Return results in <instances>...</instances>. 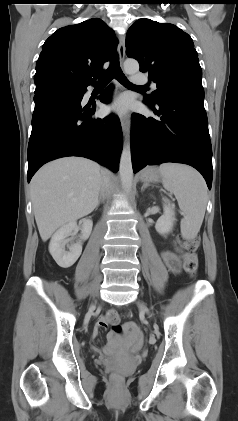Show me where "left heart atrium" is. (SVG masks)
<instances>
[{
  "label": "left heart atrium",
  "mask_w": 238,
  "mask_h": 421,
  "mask_svg": "<svg viewBox=\"0 0 238 421\" xmlns=\"http://www.w3.org/2000/svg\"><path fill=\"white\" fill-rule=\"evenodd\" d=\"M128 109V102L125 98H119L114 101L109 107L108 111L116 114H124Z\"/></svg>",
  "instance_id": "1"
}]
</instances>
